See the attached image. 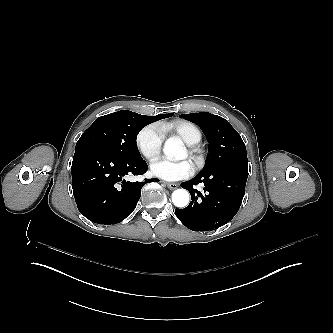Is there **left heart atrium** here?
Masks as SVG:
<instances>
[{
    "label": "left heart atrium",
    "instance_id": "left-heart-atrium-1",
    "mask_svg": "<svg viewBox=\"0 0 333 333\" xmlns=\"http://www.w3.org/2000/svg\"><path fill=\"white\" fill-rule=\"evenodd\" d=\"M153 175L168 181H179L191 177L195 168L190 161H159L152 168Z\"/></svg>",
    "mask_w": 333,
    "mask_h": 333
}]
</instances>
